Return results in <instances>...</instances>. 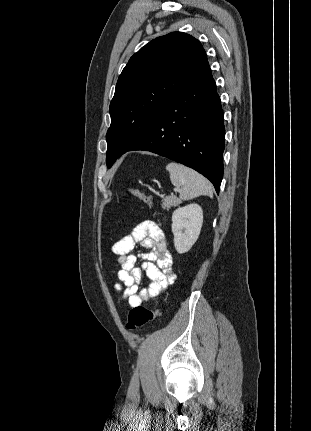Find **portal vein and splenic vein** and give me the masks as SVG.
<instances>
[{
    "instance_id": "18ae733b",
    "label": "portal vein and splenic vein",
    "mask_w": 311,
    "mask_h": 431,
    "mask_svg": "<svg viewBox=\"0 0 311 431\" xmlns=\"http://www.w3.org/2000/svg\"><path fill=\"white\" fill-rule=\"evenodd\" d=\"M174 192H179V188H174Z\"/></svg>"
}]
</instances>
